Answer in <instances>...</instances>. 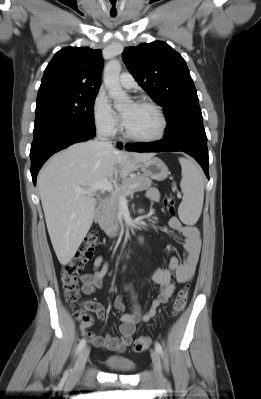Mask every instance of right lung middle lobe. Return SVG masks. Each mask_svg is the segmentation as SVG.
Instances as JSON below:
<instances>
[{
    "instance_id": "right-lung-middle-lobe-1",
    "label": "right lung middle lobe",
    "mask_w": 261,
    "mask_h": 399,
    "mask_svg": "<svg viewBox=\"0 0 261 399\" xmlns=\"http://www.w3.org/2000/svg\"><path fill=\"white\" fill-rule=\"evenodd\" d=\"M96 95L59 93L37 97L35 125L53 119H65L94 131L93 106Z\"/></svg>"
}]
</instances>
